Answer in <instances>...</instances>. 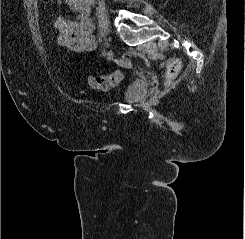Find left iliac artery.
I'll use <instances>...</instances> for the list:
<instances>
[{"label": "left iliac artery", "instance_id": "44dca946", "mask_svg": "<svg viewBox=\"0 0 245 239\" xmlns=\"http://www.w3.org/2000/svg\"><path fill=\"white\" fill-rule=\"evenodd\" d=\"M106 55L105 49L102 50V56L104 57Z\"/></svg>", "mask_w": 245, "mask_h": 239}]
</instances>
